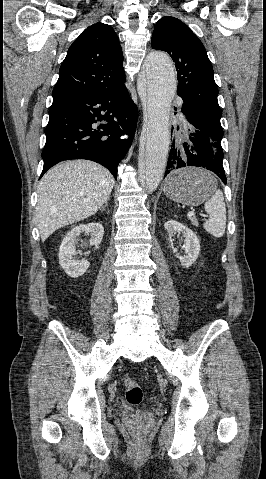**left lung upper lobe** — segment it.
Listing matches in <instances>:
<instances>
[{
	"label": "left lung upper lobe",
	"instance_id": "left-lung-upper-lobe-1",
	"mask_svg": "<svg viewBox=\"0 0 266 479\" xmlns=\"http://www.w3.org/2000/svg\"><path fill=\"white\" fill-rule=\"evenodd\" d=\"M152 48L166 51L175 62L177 94L215 141L221 143L223 129L218 105V89L213 68L202 42L192 30L175 17H162L155 25ZM222 151V147H220Z\"/></svg>",
	"mask_w": 266,
	"mask_h": 479
}]
</instances>
